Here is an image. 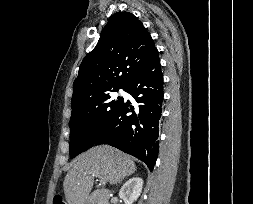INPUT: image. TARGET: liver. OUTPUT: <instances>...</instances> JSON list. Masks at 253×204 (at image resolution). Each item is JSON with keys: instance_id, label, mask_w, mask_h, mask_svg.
Listing matches in <instances>:
<instances>
[{"instance_id": "6515ba94", "label": "liver", "mask_w": 253, "mask_h": 204, "mask_svg": "<svg viewBox=\"0 0 253 204\" xmlns=\"http://www.w3.org/2000/svg\"><path fill=\"white\" fill-rule=\"evenodd\" d=\"M135 171L133 159L125 153L108 145L93 147L72 162L63 182L66 201L85 204L94 184L93 172L105 182L116 184Z\"/></svg>"}]
</instances>
